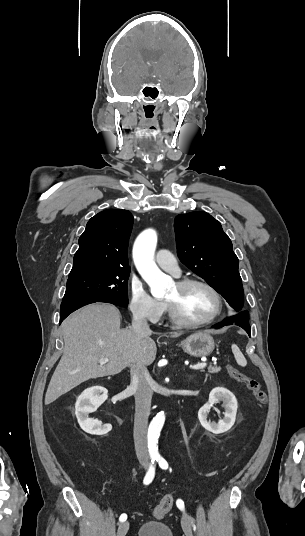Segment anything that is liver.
I'll use <instances>...</instances> for the list:
<instances>
[{
    "mask_svg": "<svg viewBox=\"0 0 305 536\" xmlns=\"http://www.w3.org/2000/svg\"><path fill=\"white\" fill-rule=\"evenodd\" d=\"M120 324V312L112 304H89L62 322L63 356L50 380L46 406L90 378L114 376L124 368H143L154 362L155 342L133 330H120ZM170 334L171 338L181 336ZM103 358L109 362L101 366Z\"/></svg>",
    "mask_w": 305,
    "mask_h": 536,
    "instance_id": "obj_1",
    "label": "liver"
}]
</instances>
